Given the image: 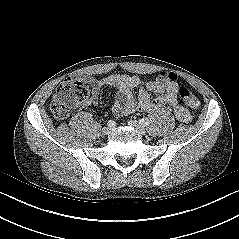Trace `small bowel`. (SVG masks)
<instances>
[{
  "mask_svg": "<svg viewBox=\"0 0 239 239\" xmlns=\"http://www.w3.org/2000/svg\"><path fill=\"white\" fill-rule=\"evenodd\" d=\"M83 80L91 88L86 106L97 104L103 87H112L116 91L112 111L117 117L134 112L153 113L160 108L168 107L179 121L184 123L191 121L190 112L178 101L179 85L177 81L170 80L167 73H161L155 80L145 83L138 76L117 74L102 78L86 76ZM137 88L139 92L135 96L134 90ZM150 93L156 96L151 98Z\"/></svg>",
  "mask_w": 239,
  "mask_h": 239,
  "instance_id": "small-bowel-1",
  "label": "small bowel"
}]
</instances>
